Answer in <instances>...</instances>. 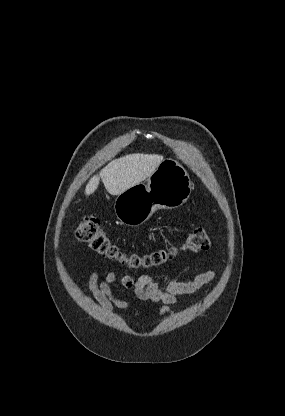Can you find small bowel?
<instances>
[{
	"label": "small bowel",
	"instance_id": "c3829d8e",
	"mask_svg": "<svg viewBox=\"0 0 285 416\" xmlns=\"http://www.w3.org/2000/svg\"><path fill=\"white\" fill-rule=\"evenodd\" d=\"M216 277L217 272L209 270L196 275L190 282L181 283L171 281L165 288H161L149 275H142L137 279L129 275H122L118 279L116 273L110 271L101 280L98 272L94 271L89 276L86 289L92 293V297L89 298L91 304L99 305L108 313H113L115 307L123 310L129 308L128 303L112 290V286L119 283L146 304L151 302L162 303L163 306L160 309L159 315L164 316L166 314H174L172 307L177 304L181 296L197 293L199 289L211 283Z\"/></svg>",
	"mask_w": 285,
	"mask_h": 416
}]
</instances>
